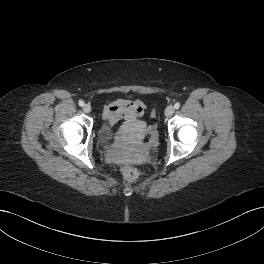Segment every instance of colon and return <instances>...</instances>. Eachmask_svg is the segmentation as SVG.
<instances>
[{
	"label": "colon",
	"instance_id": "5ec220e1",
	"mask_svg": "<svg viewBox=\"0 0 264 264\" xmlns=\"http://www.w3.org/2000/svg\"><path fill=\"white\" fill-rule=\"evenodd\" d=\"M120 171L124 176V178L129 182L135 181L139 176L138 170L135 167L128 164L122 165Z\"/></svg>",
	"mask_w": 264,
	"mask_h": 264
}]
</instances>
